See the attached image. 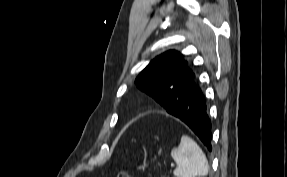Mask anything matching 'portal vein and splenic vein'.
Listing matches in <instances>:
<instances>
[{
    "instance_id": "18ae733b",
    "label": "portal vein and splenic vein",
    "mask_w": 287,
    "mask_h": 177,
    "mask_svg": "<svg viewBox=\"0 0 287 177\" xmlns=\"http://www.w3.org/2000/svg\"><path fill=\"white\" fill-rule=\"evenodd\" d=\"M174 166H175L174 164H171V168H174Z\"/></svg>"
}]
</instances>
